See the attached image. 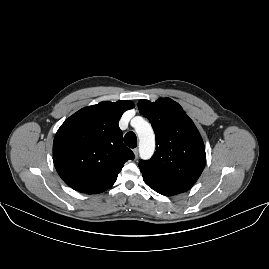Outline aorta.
<instances>
[{
  "instance_id": "aorta-1",
  "label": "aorta",
  "mask_w": 269,
  "mask_h": 269,
  "mask_svg": "<svg viewBox=\"0 0 269 269\" xmlns=\"http://www.w3.org/2000/svg\"><path fill=\"white\" fill-rule=\"evenodd\" d=\"M132 122L135 124L134 129L139 138V154L143 160L152 157L155 150V134L152 126L143 117L136 116Z\"/></svg>"
}]
</instances>
